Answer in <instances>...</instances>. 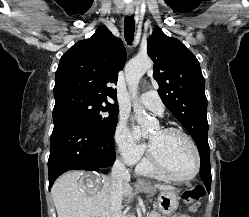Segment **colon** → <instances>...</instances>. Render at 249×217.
I'll return each mask as SVG.
<instances>
[{
  "label": "colon",
  "mask_w": 249,
  "mask_h": 217,
  "mask_svg": "<svg viewBox=\"0 0 249 217\" xmlns=\"http://www.w3.org/2000/svg\"><path fill=\"white\" fill-rule=\"evenodd\" d=\"M205 191L201 186L188 188L183 193V200L192 212H196L200 206V199L204 196Z\"/></svg>",
  "instance_id": "colon-1"
}]
</instances>
